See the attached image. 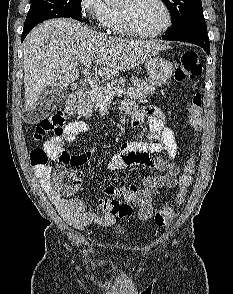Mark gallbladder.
Here are the masks:
<instances>
[{"mask_svg": "<svg viewBox=\"0 0 233 294\" xmlns=\"http://www.w3.org/2000/svg\"><path fill=\"white\" fill-rule=\"evenodd\" d=\"M64 98V93L56 88L47 87L32 109V118H28L29 121L39 122L49 117L56 107L61 103Z\"/></svg>", "mask_w": 233, "mask_h": 294, "instance_id": "bac80fb5", "label": "gallbladder"}]
</instances>
